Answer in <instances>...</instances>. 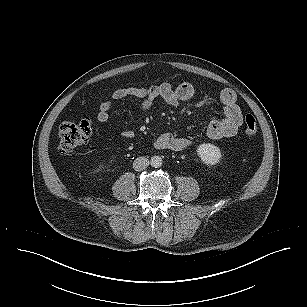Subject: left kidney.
Wrapping results in <instances>:
<instances>
[{"label":"left kidney","mask_w":307,"mask_h":307,"mask_svg":"<svg viewBox=\"0 0 307 307\" xmlns=\"http://www.w3.org/2000/svg\"><path fill=\"white\" fill-rule=\"evenodd\" d=\"M197 154L201 158V160L207 165H215L221 159L220 149L210 143H203L198 146Z\"/></svg>","instance_id":"obj_1"}]
</instances>
